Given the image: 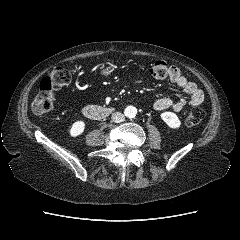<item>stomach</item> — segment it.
<instances>
[{"label":"stomach","instance_id":"stomach-1","mask_svg":"<svg viewBox=\"0 0 240 240\" xmlns=\"http://www.w3.org/2000/svg\"><path fill=\"white\" fill-rule=\"evenodd\" d=\"M108 73H109L108 70H103V74H104V75H107Z\"/></svg>","mask_w":240,"mask_h":240}]
</instances>
